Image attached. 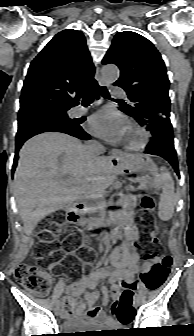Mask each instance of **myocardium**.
Returning <instances> with one entry per match:
<instances>
[{"mask_svg": "<svg viewBox=\"0 0 194 336\" xmlns=\"http://www.w3.org/2000/svg\"><path fill=\"white\" fill-rule=\"evenodd\" d=\"M127 128L133 131L137 135L138 139L136 141L124 140V148L128 151L144 150L150 142V132L135 122H130Z\"/></svg>", "mask_w": 194, "mask_h": 336, "instance_id": "myocardium-1", "label": "myocardium"}]
</instances>
